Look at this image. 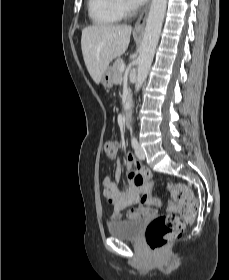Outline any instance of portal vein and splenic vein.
I'll return each instance as SVG.
<instances>
[{
    "mask_svg": "<svg viewBox=\"0 0 229 280\" xmlns=\"http://www.w3.org/2000/svg\"><path fill=\"white\" fill-rule=\"evenodd\" d=\"M124 70H125V64L123 63V64H121V66H120V71H121V72H124Z\"/></svg>",
    "mask_w": 229,
    "mask_h": 280,
    "instance_id": "obj_1",
    "label": "portal vein and splenic vein"
}]
</instances>
